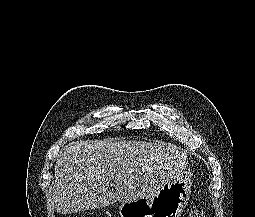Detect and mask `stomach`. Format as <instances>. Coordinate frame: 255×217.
<instances>
[{
  "label": "stomach",
  "instance_id": "1",
  "mask_svg": "<svg viewBox=\"0 0 255 217\" xmlns=\"http://www.w3.org/2000/svg\"><path fill=\"white\" fill-rule=\"evenodd\" d=\"M191 173L183 171L154 194L120 205L121 217H180L191 193Z\"/></svg>",
  "mask_w": 255,
  "mask_h": 217
}]
</instances>
